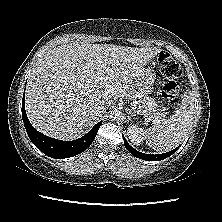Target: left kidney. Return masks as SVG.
Here are the masks:
<instances>
[{"label": "left kidney", "mask_w": 222, "mask_h": 222, "mask_svg": "<svg viewBox=\"0 0 222 222\" xmlns=\"http://www.w3.org/2000/svg\"><path fill=\"white\" fill-rule=\"evenodd\" d=\"M127 135L130 141L137 146H140L144 140L143 129L136 124H130L127 128Z\"/></svg>", "instance_id": "1"}]
</instances>
